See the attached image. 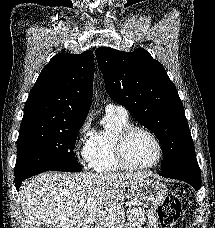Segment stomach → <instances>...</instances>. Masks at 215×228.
Returning a JSON list of instances; mask_svg holds the SVG:
<instances>
[{"instance_id": "obj_1", "label": "stomach", "mask_w": 215, "mask_h": 228, "mask_svg": "<svg viewBox=\"0 0 215 228\" xmlns=\"http://www.w3.org/2000/svg\"><path fill=\"white\" fill-rule=\"evenodd\" d=\"M131 196H134L137 202H144L151 206L147 212L146 228H158L157 206H160L168 196L166 184H162L154 178H143L137 184L130 186Z\"/></svg>"}]
</instances>
